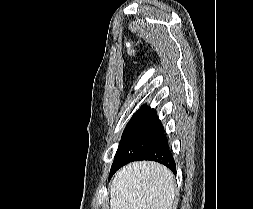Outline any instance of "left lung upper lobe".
Returning <instances> with one entry per match:
<instances>
[{"mask_svg": "<svg viewBox=\"0 0 253 209\" xmlns=\"http://www.w3.org/2000/svg\"><path fill=\"white\" fill-rule=\"evenodd\" d=\"M164 131L154 109L143 105L127 124L119 143L114 161L137 155Z\"/></svg>", "mask_w": 253, "mask_h": 209, "instance_id": "5c2ea615", "label": "left lung upper lobe"}]
</instances>
